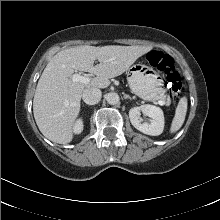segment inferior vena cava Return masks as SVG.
Here are the masks:
<instances>
[{
  "instance_id": "1",
  "label": "inferior vena cava",
  "mask_w": 220,
  "mask_h": 220,
  "mask_svg": "<svg viewBox=\"0 0 220 220\" xmlns=\"http://www.w3.org/2000/svg\"><path fill=\"white\" fill-rule=\"evenodd\" d=\"M102 92L98 88H86L83 91V101L88 105H95L101 100Z\"/></svg>"
}]
</instances>
